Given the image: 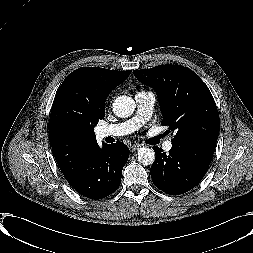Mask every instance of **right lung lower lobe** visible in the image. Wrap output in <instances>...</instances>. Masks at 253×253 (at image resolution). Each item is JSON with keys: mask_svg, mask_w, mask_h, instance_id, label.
<instances>
[{"mask_svg": "<svg viewBox=\"0 0 253 253\" xmlns=\"http://www.w3.org/2000/svg\"><path fill=\"white\" fill-rule=\"evenodd\" d=\"M129 157L128 147L122 143L103 144L93 148L81 164L77 174L67 180L81 195L102 199L118 189L122 169Z\"/></svg>", "mask_w": 253, "mask_h": 253, "instance_id": "obj_1", "label": "right lung lower lobe"}]
</instances>
